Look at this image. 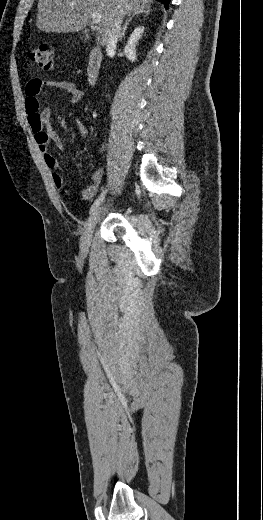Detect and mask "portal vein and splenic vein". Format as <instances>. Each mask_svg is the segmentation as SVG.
<instances>
[{"label": "portal vein and splenic vein", "mask_w": 263, "mask_h": 520, "mask_svg": "<svg viewBox=\"0 0 263 520\" xmlns=\"http://www.w3.org/2000/svg\"><path fill=\"white\" fill-rule=\"evenodd\" d=\"M71 5H73V4H71ZM90 16H91V18H92V22H93L94 24H99V23H100V21H101V15H100L99 13H97V12H91V13H90Z\"/></svg>", "instance_id": "portal-vein-and-splenic-vein-1"}]
</instances>
